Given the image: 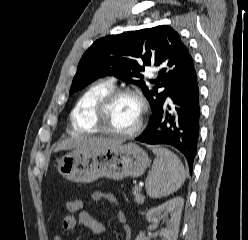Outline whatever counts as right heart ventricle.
Returning a JSON list of instances; mask_svg holds the SVG:
<instances>
[{
    "mask_svg": "<svg viewBox=\"0 0 248 240\" xmlns=\"http://www.w3.org/2000/svg\"><path fill=\"white\" fill-rule=\"evenodd\" d=\"M113 83L102 80L88 87L78 98L70 115L71 130L75 133H96L93 123V112L98 101L113 89Z\"/></svg>",
    "mask_w": 248,
    "mask_h": 240,
    "instance_id": "e07e8e85",
    "label": "right heart ventricle"
}]
</instances>
